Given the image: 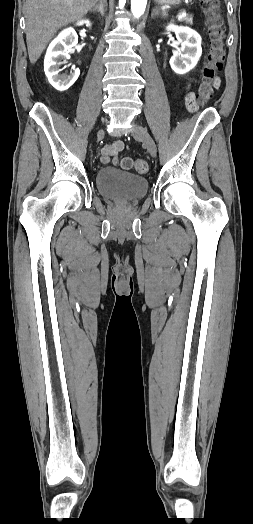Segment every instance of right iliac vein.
<instances>
[{
  "instance_id": "1",
  "label": "right iliac vein",
  "mask_w": 253,
  "mask_h": 524,
  "mask_svg": "<svg viewBox=\"0 0 253 524\" xmlns=\"http://www.w3.org/2000/svg\"><path fill=\"white\" fill-rule=\"evenodd\" d=\"M103 136H104V130H103V129H100V130L98 131V133H97V137H98V139H99V138H102Z\"/></svg>"
}]
</instances>
